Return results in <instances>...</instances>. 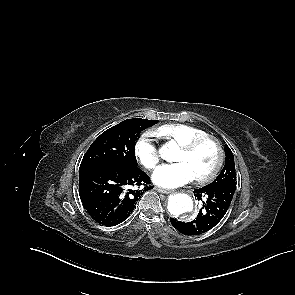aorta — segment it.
Returning <instances> with one entry per match:
<instances>
[{
    "label": "aorta",
    "mask_w": 295,
    "mask_h": 295,
    "mask_svg": "<svg viewBox=\"0 0 295 295\" xmlns=\"http://www.w3.org/2000/svg\"><path fill=\"white\" fill-rule=\"evenodd\" d=\"M178 149L175 142L171 141L166 144L160 151V155L167 161L173 160V154ZM168 211L174 217H181L190 214L194 209L193 199L185 193H175L168 198Z\"/></svg>",
    "instance_id": "1"
}]
</instances>
